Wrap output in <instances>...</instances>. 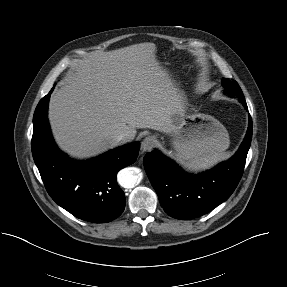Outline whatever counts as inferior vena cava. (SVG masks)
Wrapping results in <instances>:
<instances>
[{
    "label": "inferior vena cava",
    "mask_w": 287,
    "mask_h": 287,
    "mask_svg": "<svg viewBox=\"0 0 287 287\" xmlns=\"http://www.w3.org/2000/svg\"><path fill=\"white\" fill-rule=\"evenodd\" d=\"M111 141L116 146L128 142V137L125 134H117L112 137Z\"/></svg>",
    "instance_id": "602c4592"
}]
</instances>
